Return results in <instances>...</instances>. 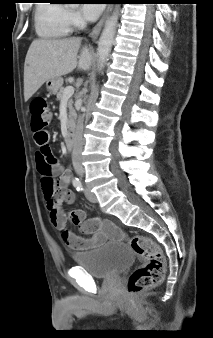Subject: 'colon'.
Returning <instances> with one entry per match:
<instances>
[{
    "label": "colon",
    "mask_w": 213,
    "mask_h": 338,
    "mask_svg": "<svg viewBox=\"0 0 213 338\" xmlns=\"http://www.w3.org/2000/svg\"><path fill=\"white\" fill-rule=\"evenodd\" d=\"M32 115L31 127L34 132L35 143L41 148L37 154V170L42 178V186L45 197L46 208L50 221L55 222L57 212L56 181L53 178L54 167L57 160L45 157L43 147L49 140L46 130L52 123V114L43 98H35L30 104ZM74 220V219H73ZM94 228L101 227L94 223ZM132 250L140 257L141 264L132 272L128 278L127 290L130 294L138 293L144 289L157 286L164 277L165 259L158 243L144 235H133L128 238Z\"/></svg>",
    "instance_id": "colon-1"
}]
</instances>
